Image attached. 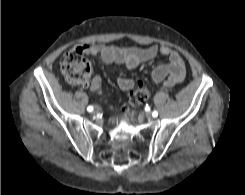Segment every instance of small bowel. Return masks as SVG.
<instances>
[{
    "label": "small bowel",
    "mask_w": 245,
    "mask_h": 195,
    "mask_svg": "<svg viewBox=\"0 0 245 195\" xmlns=\"http://www.w3.org/2000/svg\"><path fill=\"white\" fill-rule=\"evenodd\" d=\"M86 54L99 57L106 64L124 65L134 69L142 63L152 61L161 54L168 58V63L157 65L152 71L154 83H162L164 87H173L182 83L186 77V68L180 54L168 46L152 45L147 48L119 47L113 45H92L85 47ZM92 92L98 93L102 90V78L94 76L86 84ZM117 85L124 91L134 88V81L129 78L120 77Z\"/></svg>",
    "instance_id": "obj_1"
}]
</instances>
